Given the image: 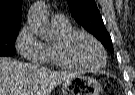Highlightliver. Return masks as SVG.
I'll return each mask as SVG.
<instances>
[{
	"label": "liver",
	"instance_id": "liver-1",
	"mask_svg": "<svg viewBox=\"0 0 135 95\" xmlns=\"http://www.w3.org/2000/svg\"><path fill=\"white\" fill-rule=\"evenodd\" d=\"M77 75L0 57V95H49L56 86Z\"/></svg>",
	"mask_w": 135,
	"mask_h": 95
}]
</instances>
